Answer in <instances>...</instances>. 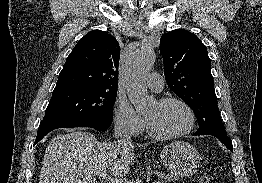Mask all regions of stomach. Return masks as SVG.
<instances>
[{
	"label": "stomach",
	"instance_id": "stomach-1",
	"mask_svg": "<svg viewBox=\"0 0 262 183\" xmlns=\"http://www.w3.org/2000/svg\"><path fill=\"white\" fill-rule=\"evenodd\" d=\"M166 169L177 177L193 175L200 166V154L189 143L175 141L166 145L160 153Z\"/></svg>",
	"mask_w": 262,
	"mask_h": 183
}]
</instances>
